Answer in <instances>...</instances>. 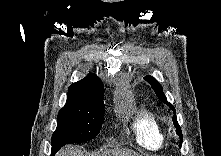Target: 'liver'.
<instances>
[{
  "mask_svg": "<svg viewBox=\"0 0 221 156\" xmlns=\"http://www.w3.org/2000/svg\"><path fill=\"white\" fill-rule=\"evenodd\" d=\"M57 156H84V153L73 146H68L57 153ZM90 156H140V154L129 149H112L101 154H91Z\"/></svg>",
  "mask_w": 221,
  "mask_h": 156,
  "instance_id": "1",
  "label": "liver"
}]
</instances>
